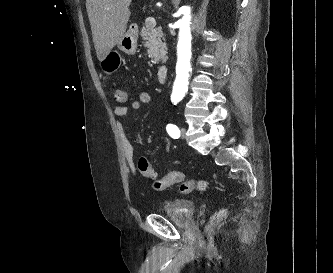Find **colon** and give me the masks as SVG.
I'll return each instance as SVG.
<instances>
[{
    "instance_id": "5ec220e1",
    "label": "colon",
    "mask_w": 333,
    "mask_h": 273,
    "mask_svg": "<svg viewBox=\"0 0 333 273\" xmlns=\"http://www.w3.org/2000/svg\"><path fill=\"white\" fill-rule=\"evenodd\" d=\"M114 99L119 103H124L127 101V93L122 89H116L114 91ZM138 171L146 178H155V171L145 157H140L137 162ZM174 184L180 185V190L182 193H192L194 191L205 190L208 186L207 182L204 180H195L192 178H187L184 173L180 171H172L166 174L161 179L155 181V187L157 189H164L170 187ZM225 215V211H219L213 218L211 224L219 220Z\"/></svg>"
}]
</instances>
